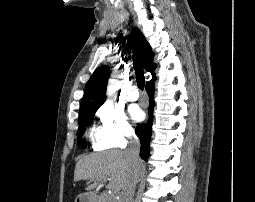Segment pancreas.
Returning <instances> with one entry per match:
<instances>
[{
    "instance_id": "pancreas-1",
    "label": "pancreas",
    "mask_w": 255,
    "mask_h": 202,
    "mask_svg": "<svg viewBox=\"0 0 255 202\" xmlns=\"http://www.w3.org/2000/svg\"><path fill=\"white\" fill-rule=\"evenodd\" d=\"M96 202H116V201L113 196L103 193V194L97 196Z\"/></svg>"
}]
</instances>
